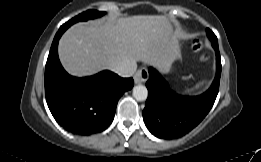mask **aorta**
<instances>
[{
	"mask_svg": "<svg viewBox=\"0 0 261 162\" xmlns=\"http://www.w3.org/2000/svg\"><path fill=\"white\" fill-rule=\"evenodd\" d=\"M133 96L137 101H144L147 99L148 90L143 85H137L133 88Z\"/></svg>",
	"mask_w": 261,
	"mask_h": 162,
	"instance_id": "obj_1",
	"label": "aorta"
}]
</instances>
